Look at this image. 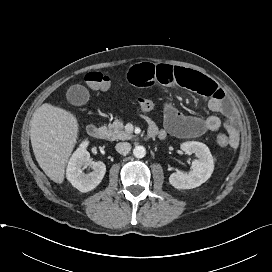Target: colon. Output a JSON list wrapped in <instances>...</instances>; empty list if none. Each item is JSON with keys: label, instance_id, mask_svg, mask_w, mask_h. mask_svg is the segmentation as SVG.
<instances>
[{"label": "colon", "instance_id": "1", "mask_svg": "<svg viewBox=\"0 0 272 272\" xmlns=\"http://www.w3.org/2000/svg\"><path fill=\"white\" fill-rule=\"evenodd\" d=\"M85 83L93 90H104L109 87L110 79L107 75L93 71L86 74ZM137 104L143 111H152L156 108V103L148 98H138ZM217 143L221 147H226L229 145V139L226 135L221 134L217 137Z\"/></svg>", "mask_w": 272, "mask_h": 272}]
</instances>
